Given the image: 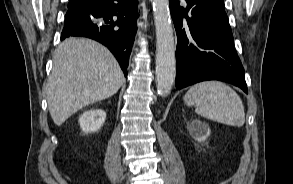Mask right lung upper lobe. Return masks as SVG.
Instances as JSON below:
<instances>
[{"label": "right lung upper lobe", "instance_id": "obj_1", "mask_svg": "<svg viewBox=\"0 0 293 184\" xmlns=\"http://www.w3.org/2000/svg\"><path fill=\"white\" fill-rule=\"evenodd\" d=\"M84 1H88V0H70L69 4H68V8L73 7L75 5H78V4H80L81 2H84Z\"/></svg>", "mask_w": 293, "mask_h": 184}]
</instances>
